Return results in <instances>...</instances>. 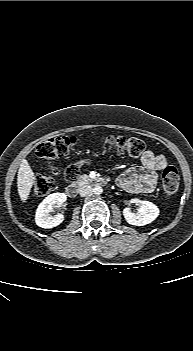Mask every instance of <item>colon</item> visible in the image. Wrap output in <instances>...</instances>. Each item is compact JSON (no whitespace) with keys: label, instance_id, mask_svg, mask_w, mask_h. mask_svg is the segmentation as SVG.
I'll return each mask as SVG.
<instances>
[{"label":"colon","instance_id":"obj_1","mask_svg":"<svg viewBox=\"0 0 193 351\" xmlns=\"http://www.w3.org/2000/svg\"><path fill=\"white\" fill-rule=\"evenodd\" d=\"M101 142L109 151H114L118 154H126L131 157H138L145 151L144 142L135 137H124L115 135H105L101 137ZM77 140L73 136H56L45 140L36 147V155L45 160H51L57 157L67 156L75 147ZM80 173V164L69 166L64 177L66 181H73ZM180 183V174L174 166H168L162 174V189L165 198H172ZM54 187V179L49 175L37 176L33 194L36 197L47 195Z\"/></svg>","mask_w":193,"mask_h":351}]
</instances>
